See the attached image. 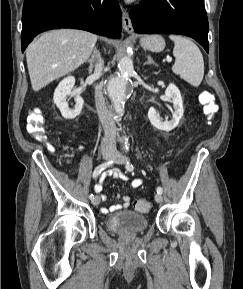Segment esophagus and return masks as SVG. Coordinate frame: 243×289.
Segmentation results:
<instances>
[{
    "instance_id": "esophagus-1",
    "label": "esophagus",
    "mask_w": 243,
    "mask_h": 289,
    "mask_svg": "<svg viewBox=\"0 0 243 289\" xmlns=\"http://www.w3.org/2000/svg\"><path fill=\"white\" fill-rule=\"evenodd\" d=\"M121 12H122L123 29L127 33H132L133 32V26H132V23H131V19L129 17L128 12L126 11V9L123 6H121Z\"/></svg>"
}]
</instances>
